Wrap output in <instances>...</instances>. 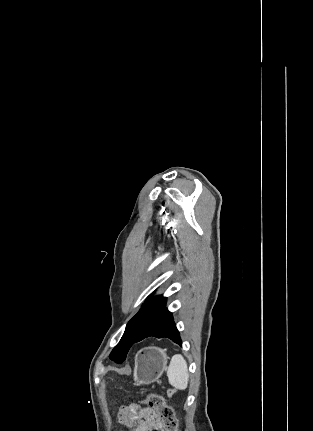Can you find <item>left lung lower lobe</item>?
Here are the masks:
<instances>
[{
	"instance_id": "left-lung-lower-lobe-1",
	"label": "left lung lower lobe",
	"mask_w": 313,
	"mask_h": 431,
	"mask_svg": "<svg viewBox=\"0 0 313 431\" xmlns=\"http://www.w3.org/2000/svg\"><path fill=\"white\" fill-rule=\"evenodd\" d=\"M151 336L157 338L167 337L177 344H182L173 316L165 306L144 325L133 344Z\"/></svg>"
}]
</instances>
